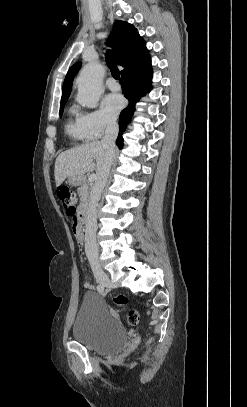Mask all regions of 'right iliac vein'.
Segmentation results:
<instances>
[{
  "mask_svg": "<svg viewBox=\"0 0 247 407\" xmlns=\"http://www.w3.org/2000/svg\"><path fill=\"white\" fill-rule=\"evenodd\" d=\"M94 276L96 278V280L103 286L106 287H113L114 284L113 282L110 280L109 276L102 270V268L100 267L99 264H95L92 267Z\"/></svg>",
  "mask_w": 247,
  "mask_h": 407,
  "instance_id": "right-iliac-vein-1",
  "label": "right iliac vein"
}]
</instances>
